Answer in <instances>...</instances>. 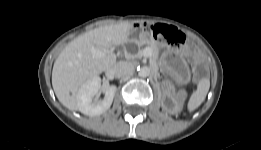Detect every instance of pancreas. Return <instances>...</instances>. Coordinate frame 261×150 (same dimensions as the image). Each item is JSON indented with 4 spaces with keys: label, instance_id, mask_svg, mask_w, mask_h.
Returning a JSON list of instances; mask_svg holds the SVG:
<instances>
[{
    "label": "pancreas",
    "instance_id": "1",
    "mask_svg": "<svg viewBox=\"0 0 261 150\" xmlns=\"http://www.w3.org/2000/svg\"><path fill=\"white\" fill-rule=\"evenodd\" d=\"M138 46L141 47L143 45H149L150 46V50L149 52L146 54V57L149 58L150 61V65L152 66L153 69H157V57L155 54V50H156V45L155 43H151L149 40H141L137 42ZM140 55H142V52L140 53ZM139 54L135 55L134 57H139Z\"/></svg>",
    "mask_w": 261,
    "mask_h": 150
}]
</instances>
